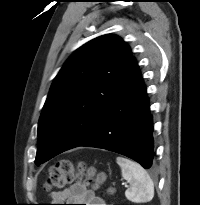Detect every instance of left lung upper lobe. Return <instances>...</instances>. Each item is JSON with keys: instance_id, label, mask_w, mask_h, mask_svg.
I'll use <instances>...</instances> for the list:
<instances>
[{"instance_id": "left-lung-upper-lobe-1", "label": "left lung upper lobe", "mask_w": 200, "mask_h": 205, "mask_svg": "<svg viewBox=\"0 0 200 205\" xmlns=\"http://www.w3.org/2000/svg\"><path fill=\"white\" fill-rule=\"evenodd\" d=\"M131 60L130 47L115 35L97 37L70 56L52 83L38 122L36 165L89 136Z\"/></svg>"}]
</instances>
